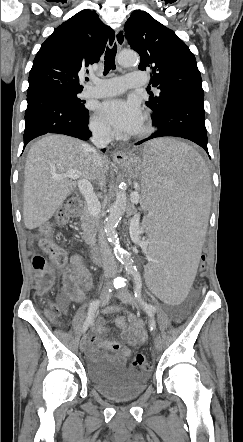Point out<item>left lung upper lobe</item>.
I'll use <instances>...</instances> for the list:
<instances>
[{"label":"left lung upper lobe","instance_id":"left-lung-upper-lobe-1","mask_svg":"<svg viewBox=\"0 0 243 442\" xmlns=\"http://www.w3.org/2000/svg\"><path fill=\"white\" fill-rule=\"evenodd\" d=\"M125 36L141 58L139 69L150 70L152 86L160 94H151L146 105L158 117L167 101L178 91L202 89V79L194 54L170 29L150 14L136 10L125 24Z\"/></svg>","mask_w":243,"mask_h":442}]
</instances>
